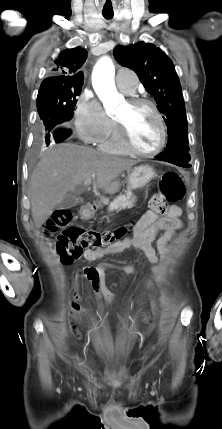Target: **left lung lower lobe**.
<instances>
[{
	"label": "left lung lower lobe",
	"mask_w": 222,
	"mask_h": 429,
	"mask_svg": "<svg viewBox=\"0 0 222 429\" xmlns=\"http://www.w3.org/2000/svg\"><path fill=\"white\" fill-rule=\"evenodd\" d=\"M155 158L161 161L172 163L174 165H177L183 168L191 167L189 163L191 160L190 154L188 151L182 148L166 150L165 152L157 155Z\"/></svg>",
	"instance_id": "left-lung-lower-lobe-1"
}]
</instances>
